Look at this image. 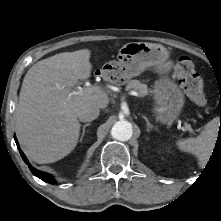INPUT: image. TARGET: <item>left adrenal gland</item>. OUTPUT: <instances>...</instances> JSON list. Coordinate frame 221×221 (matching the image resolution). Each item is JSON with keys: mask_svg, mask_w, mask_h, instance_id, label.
I'll return each mask as SVG.
<instances>
[{"mask_svg": "<svg viewBox=\"0 0 221 221\" xmlns=\"http://www.w3.org/2000/svg\"><path fill=\"white\" fill-rule=\"evenodd\" d=\"M143 117V119H145V121H146V125H147V131L149 132L151 129H155L156 131L158 130L156 127H154V125H152L150 122H149V120H148V118L146 117V116H142Z\"/></svg>", "mask_w": 221, "mask_h": 221, "instance_id": "1", "label": "left adrenal gland"}]
</instances>
